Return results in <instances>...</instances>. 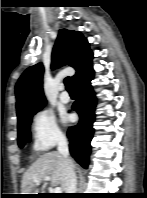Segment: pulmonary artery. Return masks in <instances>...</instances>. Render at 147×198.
I'll return each mask as SVG.
<instances>
[{
	"label": "pulmonary artery",
	"mask_w": 147,
	"mask_h": 198,
	"mask_svg": "<svg viewBox=\"0 0 147 198\" xmlns=\"http://www.w3.org/2000/svg\"><path fill=\"white\" fill-rule=\"evenodd\" d=\"M59 99L62 103H68L70 101V96L66 91H64L63 87H61V93L59 95Z\"/></svg>",
	"instance_id": "obj_1"
}]
</instances>
